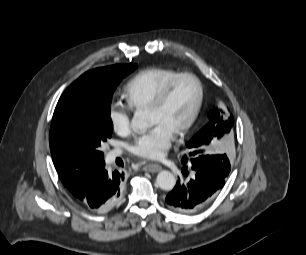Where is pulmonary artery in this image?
I'll return each mask as SVG.
<instances>
[{"mask_svg":"<svg viewBox=\"0 0 306 255\" xmlns=\"http://www.w3.org/2000/svg\"><path fill=\"white\" fill-rule=\"evenodd\" d=\"M116 155H118V152H117V151L113 152V153L110 155V158L113 159Z\"/></svg>","mask_w":306,"mask_h":255,"instance_id":"e3ab8cb5","label":"pulmonary artery"}]
</instances>
